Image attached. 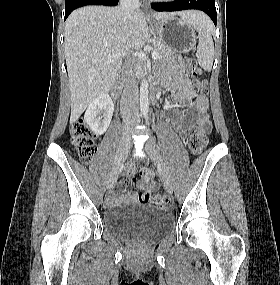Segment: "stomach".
Here are the masks:
<instances>
[{"instance_id":"0dacf381","label":"stomach","mask_w":280,"mask_h":285,"mask_svg":"<svg viewBox=\"0 0 280 285\" xmlns=\"http://www.w3.org/2000/svg\"><path fill=\"white\" fill-rule=\"evenodd\" d=\"M160 42L176 52H189L196 45V34L185 19L167 17L153 27Z\"/></svg>"}]
</instances>
